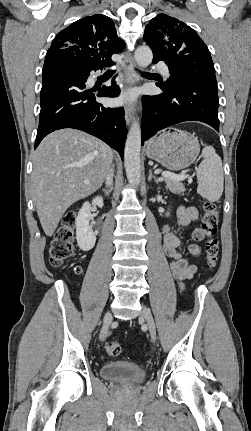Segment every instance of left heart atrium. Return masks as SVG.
<instances>
[{"label": "left heart atrium", "instance_id": "1", "mask_svg": "<svg viewBox=\"0 0 251 431\" xmlns=\"http://www.w3.org/2000/svg\"><path fill=\"white\" fill-rule=\"evenodd\" d=\"M133 98H134V94H133V93H129V94H126V95L123 97V100H124V101H131V100H133Z\"/></svg>", "mask_w": 251, "mask_h": 431}]
</instances>
